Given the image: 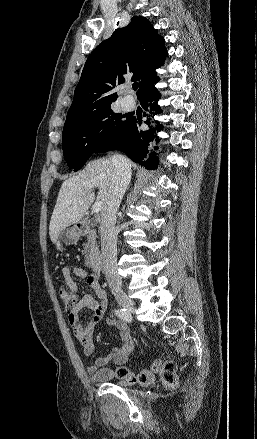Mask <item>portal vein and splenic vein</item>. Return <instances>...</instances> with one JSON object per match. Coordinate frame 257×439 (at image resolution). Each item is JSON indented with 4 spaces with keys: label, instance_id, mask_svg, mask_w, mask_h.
Masks as SVG:
<instances>
[{
    "label": "portal vein and splenic vein",
    "instance_id": "portal-vein-and-splenic-vein-1",
    "mask_svg": "<svg viewBox=\"0 0 257 439\" xmlns=\"http://www.w3.org/2000/svg\"><path fill=\"white\" fill-rule=\"evenodd\" d=\"M82 195H85V193H82ZM102 209V201H97L93 205V212L99 213Z\"/></svg>",
    "mask_w": 257,
    "mask_h": 439
}]
</instances>
